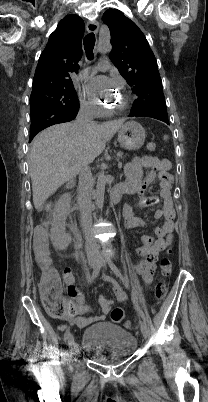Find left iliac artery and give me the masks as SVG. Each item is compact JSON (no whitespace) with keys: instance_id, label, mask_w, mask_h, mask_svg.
<instances>
[{"instance_id":"obj_1","label":"left iliac artery","mask_w":208,"mask_h":402,"mask_svg":"<svg viewBox=\"0 0 208 402\" xmlns=\"http://www.w3.org/2000/svg\"><path fill=\"white\" fill-rule=\"evenodd\" d=\"M108 264H109L111 270L116 274V276L119 277V278L123 281L125 287H126V288H129L128 281H127L125 278H123V276H122L120 270L117 268V266H116L110 259H108ZM132 300H133L134 304L136 305V307H137V309H138V311H139V314H140L141 318H142L144 321H146V317H145L143 311L139 308V306H138V304H137V301H136L135 296H134L133 293H132Z\"/></svg>"}]
</instances>
